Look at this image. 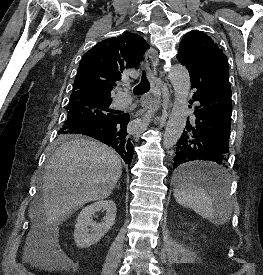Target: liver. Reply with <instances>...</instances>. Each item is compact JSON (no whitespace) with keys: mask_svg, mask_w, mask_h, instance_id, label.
<instances>
[{"mask_svg":"<svg viewBox=\"0 0 263 275\" xmlns=\"http://www.w3.org/2000/svg\"><path fill=\"white\" fill-rule=\"evenodd\" d=\"M121 174V161L109 147L93 140H69L46 165L43 194L32 203L30 216L58 226L84 204L110 196Z\"/></svg>","mask_w":263,"mask_h":275,"instance_id":"6515ba94","label":"liver"}]
</instances>
